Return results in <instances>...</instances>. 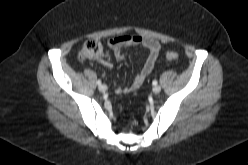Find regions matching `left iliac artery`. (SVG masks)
<instances>
[{
	"label": "left iliac artery",
	"instance_id": "44dca946",
	"mask_svg": "<svg viewBox=\"0 0 248 165\" xmlns=\"http://www.w3.org/2000/svg\"><path fill=\"white\" fill-rule=\"evenodd\" d=\"M152 83H153V85H157L158 84V82L156 80H154Z\"/></svg>",
	"mask_w": 248,
	"mask_h": 165
}]
</instances>
